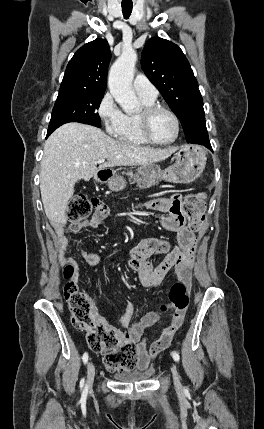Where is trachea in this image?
<instances>
[{
	"label": "trachea",
	"mask_w": 264,
	"mask_h": 429,
	"mask_svg": "<svg viewBox=\"0 0 264 429\" xmlns=\"http://www.w3.org/2000/svg\"><path fill=\"white\" fill-rule=\"evenodd\" d=\"M122 6V13L125 19H128L131 15L133 5L132 4H121Z\"/></svg>",
	"instance_id": "3493384b"
}]
</instances>
